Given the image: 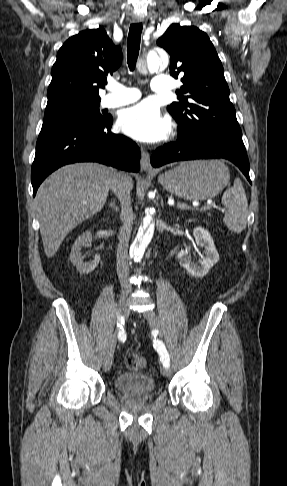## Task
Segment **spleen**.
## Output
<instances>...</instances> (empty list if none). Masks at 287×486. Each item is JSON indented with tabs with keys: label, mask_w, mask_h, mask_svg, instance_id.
Here are the masks:
<instances>
[{
	"label": "spleen",
	"mask_w": 287,
	"mask_h": 486,
	"mask_svg": "<svg viewBox=\"0 0 287 486\" xmlns=\"http://www.w3.org/2000/svg\"><path fill=\"white\" fill-rule=\"evenodd\" d=\"M222 204L227 208L223 221L234 233H241L247 225L248 201L239 178H235L233 187L222 196Z\"/></svg>",
	"instance_id": "1"
}]
</instances>
